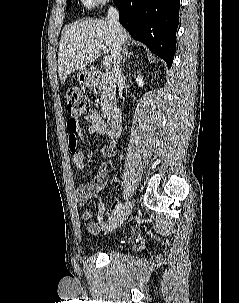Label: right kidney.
Segmentation results:
<instances>
[{
  "label": "right kidney",
  "mask_w": 239,
  "mask_h": 303,
  "mask_svg": "<svg viewBox=\"0 0 239 303\" xmlns=\"http://www.w3.org/2000/svg\"><path fill=\"white\" fill-rule=\"evenodd\" d=\"M136 82H137V84H138L139 87H143L144 86L143 77L141 75L137 76Z\"/></svg>",
  "instance_id": "ca27d5eb"
}]
</instances>
